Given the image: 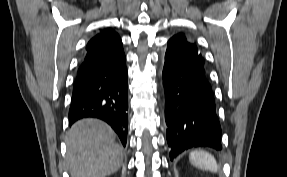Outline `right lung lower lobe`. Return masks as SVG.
<instances>
[{"instance_id":"right-lung-lower-lobe-1","label":"right lung lower lobe","mask_w":287,"mask_h":177,"mask_svg":"<svg viewBox=\"0 0 287 177\" xmlns=\"http://www.w3.org/2000/svg\"><path fill=\"white\" fill-rule=\"evenodd\" d=\"M128 83L122 41L112 29H104L86 46L74 81L69 124L86 117L107 122L122 144L127 141Z\"/></svg>"}]
</instances>
